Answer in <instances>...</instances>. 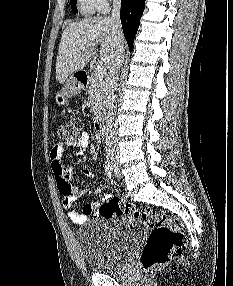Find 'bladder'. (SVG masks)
<instances>
[{"label":"bladder","mask_w":233,"mask_h":286,"mask_svg":"<svg viewBox=\"0 0 233 286\" xmlns=\"http://www.w3.org/2000/svg\"><path fill=\"white\" fill-rule=\"evenodd\" d=\"M146 225L139 219L119 218L88 223L76 233L86 267L97 273L123 269L140 243Z\"/></svg>","instance_id":"1"}]
</instances>
